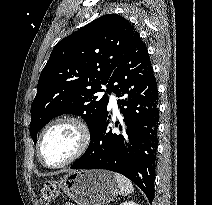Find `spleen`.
Wrapping results in <instances>:
<instances>
[{
	"label": "spleen",
	"mask_w": 212,
	"mask_h": 205,
	"mask_svg": "<svg viewBox=\"0 0 212 205\" xmlns=\"http://www.w3.org/2000/svg\"><path fill=\"white\" fill-rule=\"evenodd\" d=\"M114 177L117 181L118 188L122 196H127L133 192L134 188L130 180L118 173H115Z\"/></svg>",
	"instance_id": "1"
}]
</instances>
